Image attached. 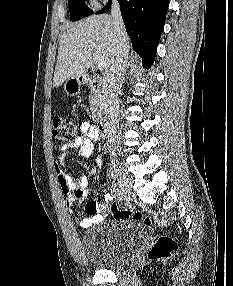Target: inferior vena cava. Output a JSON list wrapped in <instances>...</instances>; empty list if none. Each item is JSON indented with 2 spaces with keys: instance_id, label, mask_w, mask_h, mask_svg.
<instances>
[{
  "instance_id": "obj_1",
  "label": "inferior vena cava",
  "mask_w": 233,
  "mask_h": 286,
  "mask_svg": "<svg viewBox=\"0 0 233 286\" xmlns=\"http://www.w3.org/2000/svg\"><path fill=\"white\" fill-rule=\"evenodd\" d=\"M111 14L116 32L115 55L106 70L103 79V111L105 130L113 143L119 126V98L118 94L124 80L125 69L128 63L129 46L125 39V28L121 17L120 6L117 0L112 1Z\"/></svg>"
}]
</instances>
